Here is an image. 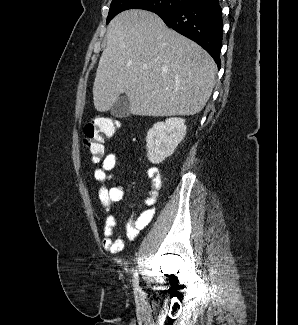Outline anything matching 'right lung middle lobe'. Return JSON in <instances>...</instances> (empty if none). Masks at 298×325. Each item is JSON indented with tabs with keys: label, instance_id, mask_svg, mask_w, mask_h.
Returning a JSON list of instances; mask_svg holds the SVG:
<instances>
[{
	"label": "right lung middle lobe",
	"instance_id": "dd1d6c3e",
	"mask_svg": "<svg viewBox=\"0 0 298 325\" xmlns=\"http://www.w3.org/2000/svg\"><path fill=\"white\" fill-rule=\"evenodd\" d=\"M191 0H112L106 23L108 24L118 13L128 9H144L152 12L158 10H176Z\"/></svg>",
	"mask_w": 298,
	"mask_h": 325
}]
</instances>
